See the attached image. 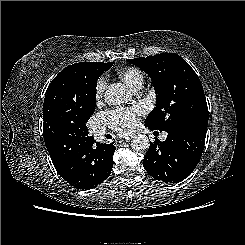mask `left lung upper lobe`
Instances as JSON below:
<instances>
[{"mask_svg":"<svg viewBox=\"0 0 245 245\" xmlns=\"http://www.w3.org/2000/svg\"><path fill=\"white\" fill-rule=\"evenodd\" d=\"M153 80L156 106L145 125L171 132L194 123H208L202 84L191 66L175 53L128 59Z\"/></svg>","mask_w":245,"mask_h":245,"instance_id":"1","label":"left lung upper lobe"}]
</instances>
